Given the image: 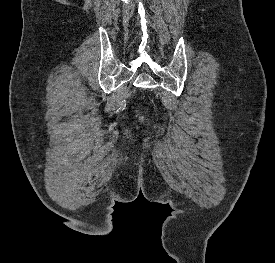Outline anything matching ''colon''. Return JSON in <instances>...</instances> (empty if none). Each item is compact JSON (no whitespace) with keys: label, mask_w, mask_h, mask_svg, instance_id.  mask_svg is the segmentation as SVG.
<instances>
[{"label":"colon","mask_w":275,"mask_h":263,"mask_svg":"<svg viewBox=\"0 0 275 263\" xmlns=\"http://www.w3.org/2000/svg\"><path fill=\"white\" fill-rule=\"evenodd\" d=\"M136 120H137L139 123L143 122V121H144V115H143V113L139 112V113L137 114V116H136Z\"/></svg>","instance_id":"1"}]
</instances>
